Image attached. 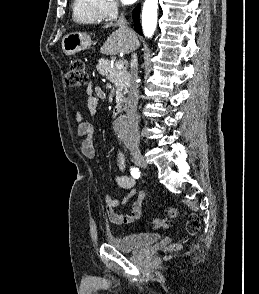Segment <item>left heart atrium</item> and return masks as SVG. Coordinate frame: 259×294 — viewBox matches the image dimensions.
<instances>
[{
	"label": "left heart atrium",
	"instance_id": "obj_1",
	"mask_svg": "<svg viewBox=\"0 0 259 294\" xmlns=\"http://www.w3.org/2000/svg\"><path fill=\"white\" fill-rule=\"evenodd\" d=\"M121 1L126 5H130V4H133L134 2H136L137 0H121Z\"/></svg>",
	"mask_w": 259,
	"mask_h": 294
}]
</instances>
